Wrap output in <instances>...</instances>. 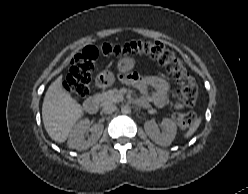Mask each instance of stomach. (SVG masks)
Masks as SVG:
<instances>
[{
	"label": "stomach",
	"instance_id": "0dacf381",
	"mask_svg": "<svg viewBox=\"0 0 248 194\" xmlns=\"http://www.w3.org/2000/svg\"><path fill=\"white\" fill-rule=\"evenodd\" d=\"M135 66V60L130 57L121 58L117 63V69L121 73L130 72ZM103 81L106 82L107 85H110L114 82V76L112 73H104Z\"/></svg>",
	"mask_w": 248,
	"mask_h": 194
}]
</instances>
